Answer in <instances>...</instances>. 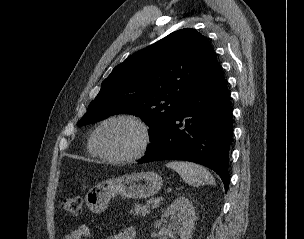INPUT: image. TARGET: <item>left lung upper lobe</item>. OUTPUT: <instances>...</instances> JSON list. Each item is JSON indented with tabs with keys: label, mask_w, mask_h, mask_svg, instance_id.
<instances>
[{
	"label": "left lung upper lobe",
	"mask_w": 304,
	"mask_h": 239,
	"mask_svg": "<svg viewBox=\"0 0 304 239\" xmlns=\"http://www.w3.org/2000/svg\"><path fill=\"white\" fill-rule=\"evenodd\" d=\"M216 61L211 45L199 32L175 31L117 65L77 125L133 114L150 126L153 143Z\"/></svg>",
	"instance_id": "obj_1"
}]
</instances>
